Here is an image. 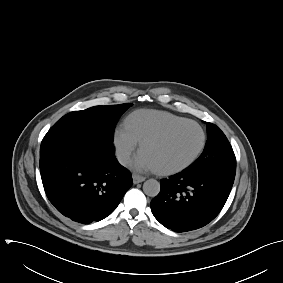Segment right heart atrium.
Listing matches in <instances>:
<instances>
[{
    "label": "right heart atrium",
    "instance_id": "obj_1",
    "mask_svg": "<svg viewBox=\"0 0 283 283\" xmlns=\"http://www.w3.org/2000/svg\"><path fill=\"white\" fill-rule=\"evenodd\" d=\"M113 145L120 163L123 165H129L132 162L137 142L130 135L124 125H120L116 128L113 136Z\"/></svg>",
    "mask_w": 283,
    "mask_h": 283
}]
</instances>
